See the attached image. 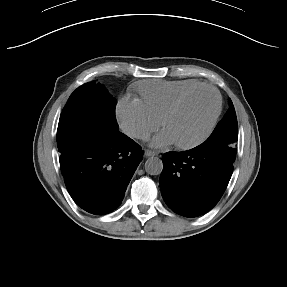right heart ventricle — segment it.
Here are the masks:
<instances>
[{"instance_id":"obj_1","label":"right heart ventricle","mask_w":287,"mask_h":287,"mask_svg":"<svg viewBox=\"0 0 287 287\" xmlns=\"http://www.w3.org/2000/svg\"><path fill=\"white\" fill-rule=\"evenodd\" d=\"M200 84L196 80H149L138 84L137 90L150 113L161 120L179 96Z\"/></svg>"}]
</instances>
